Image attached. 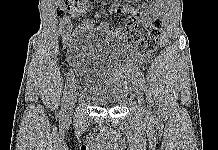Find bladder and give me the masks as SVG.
Returning <instances> with one entry per match:
<instances>
[{"mask_svg": "<svg viewBox=\"0 0 218 150\" xmlns=\"http://www.w3.org/2000/svg\"><path fill=\"white\" fill-rule=\"evenodd\" d=\"M75 67L81 97L102 106L121 103L130 92L135 75L119 50V43L108 33L92 31L84 35Z\"/></svg>", "mask_w": 218, "mask_h": 150, "instance_id": "31cf9c89", "label": "bladder"}]
</instances>
